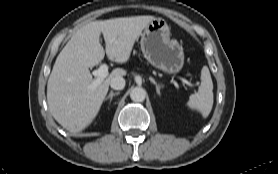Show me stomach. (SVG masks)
<instances>
[{
    "label": "stomach",
    "mask_w": 278,
    "mask_h": 174,
    "mask_svg": "<svg viewBox=\"0 0 278 174\" xmlns=\"http://www.w3.org/2000/svg\"><path fill=\"white\" fill-rule=\"evenodd\" d=\"M140 43L144 57L153 67L167 74H176L182 69L183 48L170 37V28L164 19H153L145 27Z\"/></svg>",
    "instance_id": "0dacf381"
}]
</instances>
